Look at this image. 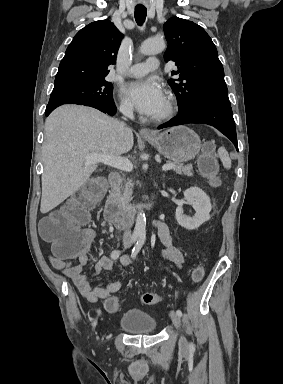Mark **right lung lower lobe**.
Listing matches in <instances>:
<instances>
[{"label":"right lung lower lobe","mask_w":283,"mask_h":384,"mask_svg":"<svg viewBox=\"0 0 283 384\" xmlns=\"http://www.w3.org/2000/svg\"><path fill=\"white\" fill-rule=\"evenodd\" d=\"M86 106H91L94 107L104 113H108L109 115H114L116 113V106L114 104V101L109 102V103H87L83 104ZM56 107H47L45 114L48 116Z\"/></svg>","instance_id":"right-lung-lower-lobe-1"}]
</instances>
